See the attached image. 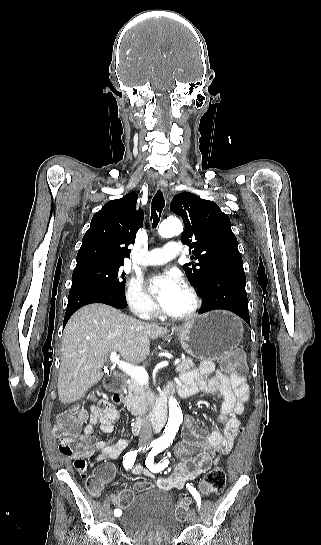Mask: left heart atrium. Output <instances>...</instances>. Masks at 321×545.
<instances>
[{
    "mask_svg": "<svg viewBox=\"0 0 321 545\" xmlns=\"http://www.w3.org/2000/svg\"><path fill=\"white\" fill-rule=\"evenodd\" d=\"M150 284L157 290L156 300L159 308L167 312L182 288L180 275L175 271H168L153 276Z\"/></svg>",
    "mask_w": 321,
    "mask_h": 545,
    "instance_id": "left-heart-atrium-1",
    "label": "left heart atrium"
}]
</instances>
